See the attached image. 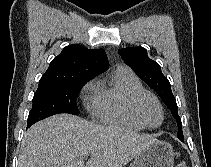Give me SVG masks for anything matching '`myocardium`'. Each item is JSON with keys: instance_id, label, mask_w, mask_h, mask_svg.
Listing matches in <instances>:
<instances>
[{"instance_id": "1", "label": "myocardium", "mask_w": 211, "mask_h": 167, "mask_svg": "<svg viewBox=\"0 0 211 167\" xmlns=\"http://www.w3.org/2000/svg\"><path fill=\"white\" fill-rule=\"evenodd\" d=\"M144 96H148V97L152 98L156 102V104L158 105V107L160 109L161 120L156 125L147 124L140 116V113L138 110V104H139V101L141 100V98ZM128 109H129V112L131 113V115L133 116V118L145 128H150V129L157 128L163 123L164 118H165L164 108H163V105H162L161 101L159 100V98L151 91H148L145 89L136 91L130 96L129 101H128Z\"/></svg>"}]
</instances>
